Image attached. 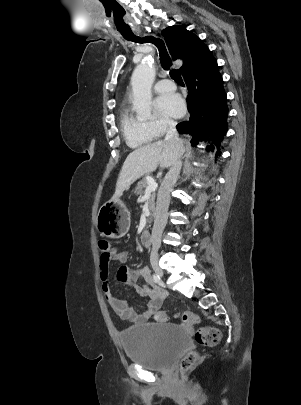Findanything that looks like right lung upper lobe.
Masks as SVG:
<instances>
[{
	"label": "right lung upper lobe",
	"mask_w": 301,
	"mask_h": 405,
	"mask_svg": "<svg viewBox=\"0 0 301 405\" xmlns=\"http://www.w3.org/2000/svg\"><path fill=\"white\" fill-rule=\"evenodd\" d=\"M174 60L182 59L180 72L184 75L214 59L203 41L183 26H171L162 31Z\"/></svg>",
	"instance_id": "1"
}]
</instances>
